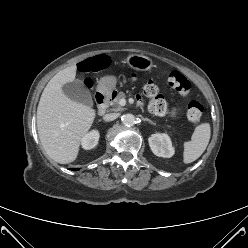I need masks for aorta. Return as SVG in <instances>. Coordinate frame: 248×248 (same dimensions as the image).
Masks as SVG:
<instances>
[{
    "instance_id": "aorta-1",
    "label": "aorta",
    "mask_w": 248,
    "mask_h": 248,
    "mask_svg": "<svg viewBox=\"0 0 248 248\" xmlns=\"http://www.w3.org/2000/svg\"><path fill=\"white\" fill-rule=\"evenodd\" d=\"M122 122L125 126H133L136 123V118L133 114H125L122 117Z\"/></svg>"
}]
</instances>
